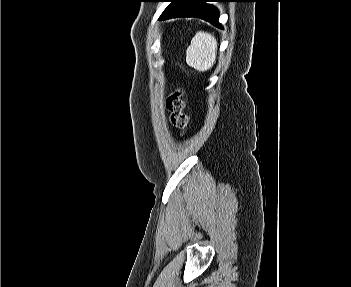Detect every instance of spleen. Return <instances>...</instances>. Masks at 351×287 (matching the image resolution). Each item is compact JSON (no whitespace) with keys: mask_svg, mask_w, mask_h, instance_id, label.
I'll use <instances>...</instances> for the list:
<instances>
[{"mask_svg":"<svg viewBox=\"0 0 351 287\" xmlns=\"http://www.w3.org/2000/svg\"><path fill=\"white\" fill-rule=\"evenodd\" d=\"M217 41L210 33L199 31L186 51V62L199 71L209 70L215 63Z\"/></svg>","mask_w":351,"mask_h":287,"instance_id":"3e777b00","label":"spleen"}]
</instances>
